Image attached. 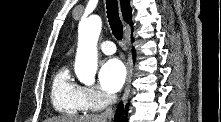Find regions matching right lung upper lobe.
I'll return each mask as SVG.
<instances>
[{
	"label": "right lung upper lobe",
	"mask_w": 221,
	"mask_h": 122,
	"mask_svg": "<svg viewBox=\"0 0 221 122\" xmlns=\"http://www.w3.org/2000/svg\"><path fill=\"white\" fill-rule=\"evenodd\" d=\"M124 20L132 26L130 0H120Z\"/></svg>",
	"instance_id": "obj_1"
}]
</instances>
